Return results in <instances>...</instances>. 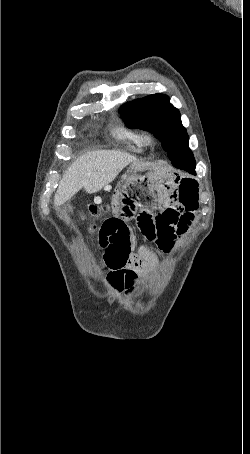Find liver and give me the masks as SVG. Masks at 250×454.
Here are the masks:
<instances>
[{
    "label": "liver",
    "instance_id": "liver-1",
    "mask_svg": "<svg viewBox=\"0 0 250 454\" xmlns=\"http://www.w3.org/2000/svg\"><path fill=\"white\" fill-rule=\"evenodd\" d=\"M132 163L140 164L136 157L122 151L87 152L65 171L54 196L55 206L64 204L82 188L88 193L98 192Z\"/></svg>",
    "mask_w": 250,
    "mask_h": 454
}]
</instances>
